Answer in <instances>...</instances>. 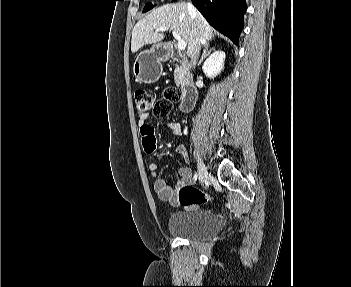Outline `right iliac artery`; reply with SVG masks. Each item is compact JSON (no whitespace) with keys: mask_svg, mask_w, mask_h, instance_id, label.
<instances>
[{"mask_svg":"<svg viewBox=\"0 0 351 287\" xmlns=\"http://www.w3.org/2000/svg\"><path fill=\"white\" fill-rule=\"evenodd\" d=\"M197 178H198V173L196 172V173L194 174V177H193L194 181H196Z\"/></svg>","mask_w":351,"mask_h":287,"instance_id":"obj_1","label":"right iliac artery"}]
</instances>
